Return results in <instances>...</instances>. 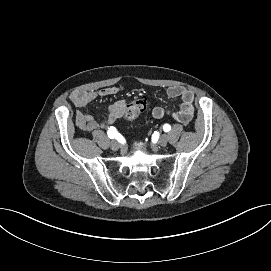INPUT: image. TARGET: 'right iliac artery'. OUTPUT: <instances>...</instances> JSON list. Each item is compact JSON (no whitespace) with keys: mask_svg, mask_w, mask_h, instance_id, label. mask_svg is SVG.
<instances>
[{"mask_svg":"<svg viewBox=\"0 0 271 271\" xmlns=\"http://www.w3.org/2000/svg\"><path fill=\"white\" fill-rule=\"evenodd\" d=\"M108 129H109L108 132H107L108 137H109L110 139L116 138L117 135H118V132H117L116 128L113 127V126H111V127L108 128Z\"/></svg>","mask_w":271,"mask_h":271,"instance_id":"obj_1","label":"right iliac artery"}]
</instances>
